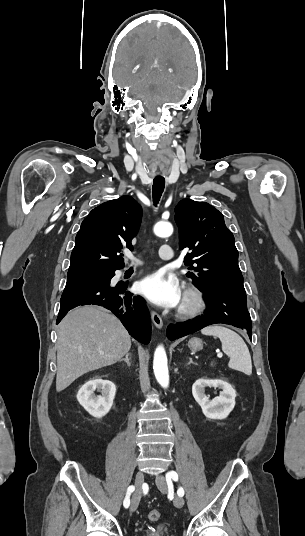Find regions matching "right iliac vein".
Segmentation results:
<instances>
[{
	"mask_svg": "<svg viewBox=\"0 0 305 536\" xmlns=\"http://www.w3.org/2000/svg\"><path fill=\"white\" fill-rule=\"evenodd\" d=\"M143 482H144V475H143L142 472H138L136 474V478H135L136 489H135V491L133 493V496H132V499H131V512H134L138 508V505L140 503V499H141V496H142Z\"/></svg>",
	"mask_w": 305,
	"mask_h": 536,
	"instance_id": "right-iliac-vein-1",
	"label": "right iliac vein"
}]
</instances>
